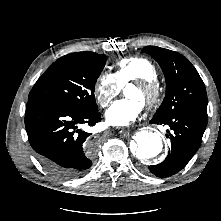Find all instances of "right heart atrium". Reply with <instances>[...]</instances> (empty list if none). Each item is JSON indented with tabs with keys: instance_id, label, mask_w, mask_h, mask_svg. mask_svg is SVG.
<instances>
[{
	"instance_id": "d8ad5b80",
	"label": "right heart atrium",
	"mask_w": 221,
	"mask_h": 221,
	"mask_svg": "<svg viewBox=\"0 0 221 221\" xmlns=\"http://www.w3.org/2000/svg\"><path fill=\"white\" fill-rule=\"evenodd\" d=\"M121 86L112 73L103 72L94 85L96 102L105 107L120 92Z\"/></svg>"
}]
</instances>
